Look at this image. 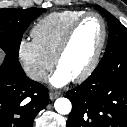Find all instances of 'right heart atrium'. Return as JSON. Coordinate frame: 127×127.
<instances>
[{
	"label": "right heart atrium",
	"mask_w": 127,
	"mask_h": 127,
	"mask_svg": "<svg viewBox=\"0 0 127 127\" xmlns=\"http://www.w3.org/2000/svg\"><path fill=\"white\" fill-rule=\"evenodd\" d=\"M18 55L26 74L35 82H42L54 64L33 40H20Z\"/></svg>",
	"instance_id": "right-heart-atrium-1"
}]
</instances>
